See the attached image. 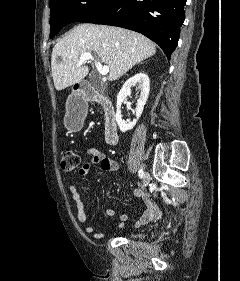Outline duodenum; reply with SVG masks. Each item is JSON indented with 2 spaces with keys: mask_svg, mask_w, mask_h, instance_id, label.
<instances>
[{
  "mask_svg": "<svg viewBox=\"0 0 240 281\" xmlns=\"http://www.w3.org/2000/svg\"><path fill=\"white\" fill-rule=\"evenodd\" d=\"M78 95L85 101H93L100 104L105 111V140L108 144H116L118 141V127L114 107L112 103L89 86H82Z\"/></svg>",
  "mask_w": 240,
  "mask_h": 281,
  "instance_id": "duodenum-1",
  "label": "duodenum"
}]
</instances>
